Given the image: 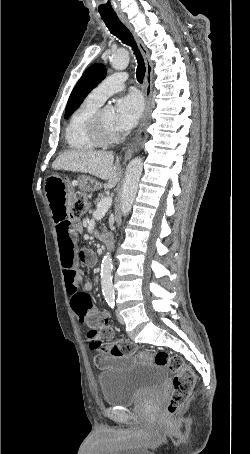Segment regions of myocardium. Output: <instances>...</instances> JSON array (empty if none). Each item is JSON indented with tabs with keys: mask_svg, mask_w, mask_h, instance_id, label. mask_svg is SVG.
Returning <instances> with one entry per match:
<instances>
[{
	"mask_svg": "<svg viewBox=\"0 0 250 454\" xmlns=\"http://www.w3.org/2000/svg\"><path fill=\"white\" fill-rule=\"evenodd\" d=\"M102 111V109H98L93 113L88 121V129L92 138L99 145H110L116 143L120 139V135L117 132L106 130L102 123Z\"/></svg>",
	"mask_w": 250,
	"mask_h": 454,
	"instance_id": "f54148a6",
	"label": "myocardium"
}]
</instances>
